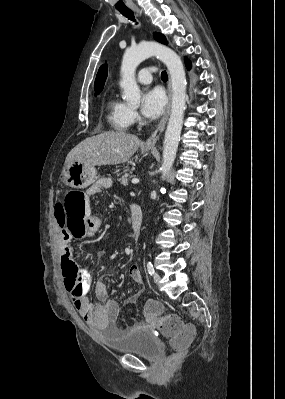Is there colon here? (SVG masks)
<instances>
[{
    "mask_svg": "<svg viewBox=\"0 0 285 399\" xmlns=\"http://www.w3.org/2000/svg\"><path fill=\"white\" fill-rule=\"evenodd\" d=\"M62 214L60 225L65 226L72 239L78 240L91 234L92 222L87 213L86 200L68 192L61 202ZM61 270L64 276L67 292L73 300H79L83 281L80 278V269L72 256L64 255L61 258ZM144 314L160 322V330L167 337L172 347L182 350L188 347L196 332L191 325L174 316H163L161 303L156 299H149L144 306Z\"/></svg>",
    "mask_w": 285,
    "mask_h": 399,
    "instance_id": "1",
    "label": "colon"
}]
</instances>
